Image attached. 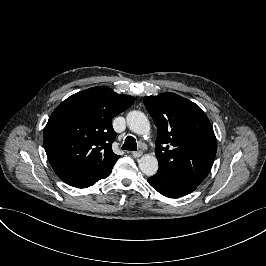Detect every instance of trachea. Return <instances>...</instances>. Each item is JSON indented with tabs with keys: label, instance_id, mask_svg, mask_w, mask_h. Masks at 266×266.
<instances>
[{
	"label": "trachea",
	"instance_id": "1",
	"mask_svg": "<svg viewBox=\"0 0 266 266\" xmlns=\"http://www.w3.org/2000/svg\"><path fill=\"white\" fill-rule=\"evenodd\" d=\"M123 150H131V151H136L137 150V143L136 140L132 136H128L125 139V142L122 146Z\"/></svg>",
	"mask_w": 266,
	"mask_h": 266
}]
</instances>
